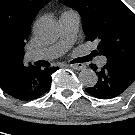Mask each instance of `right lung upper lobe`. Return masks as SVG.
Listing matches in <instances>:
<instances>
[{"mask_svg": "<svg viewBox=\"0 0 135 135\" xmlns=\"http://www.w3.org/2000/svg\"><path fill=\"white\" fill-rule=\"evenodd\" d=\"M49 1L0 0V67L23 65L32 20Z\"/></svg>", "mask_w": 135, "mask_h": 135, "instance_id": "cb5924a9", "label": "right lung upper lobe"}]
</instances>
